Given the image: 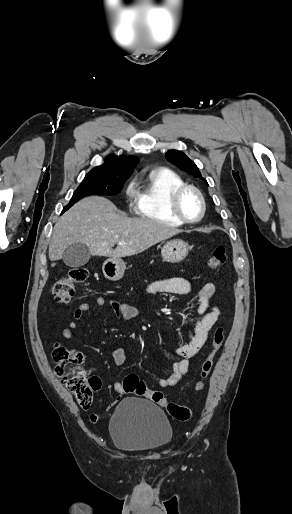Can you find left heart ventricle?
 Segmentation results:
<instances>
[{
    "label": "left heart ventricle",
    "instance_id": "left-heart-ventricle-1",
    "mask_svg": "<svg viewBox=\"0 0 292 514\" xmlns=\"http://www.w3.org/2000/svg\"><path fill=\"white\" fill-rule=\"evenodd\" d=\"M180 212L188 219H196L200 213V203L192 191H184L178 201Z\"/></svg>",
    "mask_w": 292,
    "mask_h": 514
}]
</instances>
